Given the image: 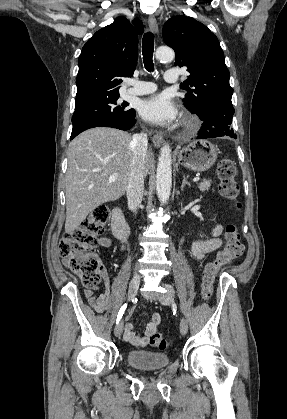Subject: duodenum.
<instances>
[{"mask_svg": "<svg viewBox=\"0 0 287 419\" xmlns=\"http://www.w3.org/2000/svg\"><path fill=\"white\" fill-rule=\"evenodd\" d=\"M112 233L116 239L125 243L130 233V227L121 208L116 207L112 215Z\"/></svg>", "mask_w": 287, "mask_h": 419, "instance_id": "duodenum-1", "label": "duodenum"}]
</instances>
